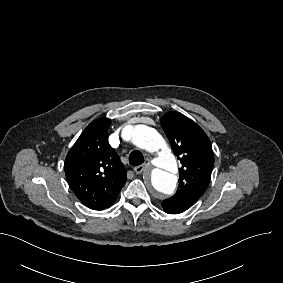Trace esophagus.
<instances>
[{"label":"esophagus","mask_w":283,"mask_h":283,"mask_svg":"<svg viewBox=\"0 0 283 283\" xmlns=\"http://www.w3.org/2000/svg\"><path fill=\"white\" fill-rule=\"evenodd\" d=\"M146 168H147V164H142V165L136 166V167L134 168V171H135L136 174H140V173L143 172Z\"/></svg>","instance_id":"esophagus-1"}]
</instances>
